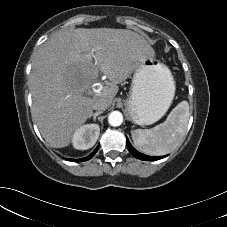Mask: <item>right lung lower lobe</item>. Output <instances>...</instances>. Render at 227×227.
<instances>
[{"label":"right lung lower lobe","instance_id":"right-lung-lower-lobe-1","mask_svg":"<svg viewBox=\"0 0 227 227\" xmlns=\"http://www.w3.org/2000/svg\"><path fill=\"white\" fill-rule=\"evenodd\" d=\"M98 147H99V145L97 146V148H96L89 156H87V157H85V158H82V159H67V160L74 161V162H83V161H87V160L91 159V158L95 155V153H96L97 150H98Z\"/></svg>","mask_w":227,"mask_h":227}]
</instances>
